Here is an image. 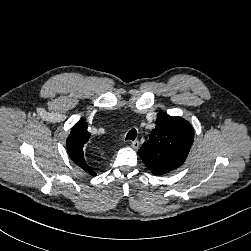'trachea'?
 I'll use <instances>...</instances> for the list:
<instances>
[{"mask_svg":"<svg viewBox=\"0 0 251 251\" xmlns=\"http://www.w3.org/2000/svg\"><path fill=\"white\" fill-rule=\"evenodd\" d=\"M136 136H137V131H136V129L133 128L128 132V134L126 136V140L134 141Z\"/></svg>","mask_w":251,"mask_h":251,"instance_id":"obj_1","label":"trachea"}]
</instances>
